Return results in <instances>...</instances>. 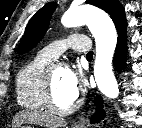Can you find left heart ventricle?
Wrapping results in <instances>:
<instances>
[{"label":"left heart ventricle","instance_id":"b2bd125f","mask_svg":"<svg viewBox=\"0 0 142 128\" xmlns=\"http://www.w3.org/2000/svg\"><path fill=\"white\" fill-rule=\"evenodd\" d=\"M65 69L56 67L52 71V88L56 105L60 108L69 107L77 97L65 81Z\"/></svg>","mask_w":142,"mask_h":128}]
</instances>
